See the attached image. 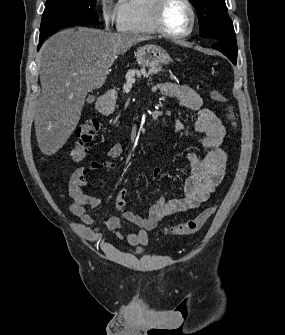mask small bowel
I'll return each mask as SVG.
<instances>
[{
  "label": "small bowel",
  "mask_w": 285,
  "mask_h": 335,
  "mask_svg": "<svg viewBox=\"0 0 285 335\" xmlns=\"http://www.w3.org/2000/svg\"><path fill=\"white\" fill-rule=\"evenodd\" d=\"M154 90L166 97L175 98L181 107L196 113L194 129L200 135L206 154L203 158L193 152L187 154L191 174L185 181L182 196L176 199L158 198L149 207L145 217L127 210V191L121 189L118 192L117 207L121 217L112 216L103 219L101 226L133 246H145L148 243V231L155 228L164 217L197 208L206 201L222 181L226 170L227 155L221 148L222 140L226 135L225 127L211 109L203 107L201 96L185 84L161 83L156 85ZM174 127L178 133L185 131L184 124L178 119L175 120ZM122 153L121 143L111 145L106 151L105 159L94 160L88 166L79 168L70 180L69 192L74 201L70 206V213L76 219L79 234L90 242L104 241L100 225L86 212L88 208H97L101 204V199L86 195L84 187L91 173L101 169H114L113 160L120 157ZM159 174L160 170L155 169L154 176ZM123 220L135 224L138 230L125 236L121 235L119 229Z\"/></svg>",
  "instance_id": "c3829d8e"
}]
</instances>
